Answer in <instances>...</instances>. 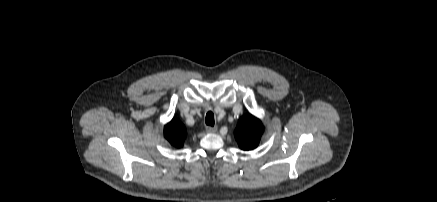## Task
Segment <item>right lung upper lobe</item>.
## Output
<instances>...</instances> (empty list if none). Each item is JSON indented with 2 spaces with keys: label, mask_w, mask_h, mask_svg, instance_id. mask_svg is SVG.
<instances>
[{
  "label": "right lung upper lobe",
  "mask_w": 437,
  "mask_h": 202,
  "mask_svg": "<svg viewBox=\"0 0 437 202\" xmlns=\"http://www.w3.org/2000/svg\"><path fill=\"white\" fill-rule=\"evenodd\" d=\"M164 136L171 145L181 148L186 137V128L180 120L173 118L165 125Z\"/></svg>",
  "instance_id": "obj_1"
}]
</instances>
